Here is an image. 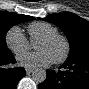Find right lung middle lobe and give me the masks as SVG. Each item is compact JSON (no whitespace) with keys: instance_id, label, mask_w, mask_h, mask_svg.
<instances>
[{"instance_id":"obj_1","label":"right lung middle lobe","mask_w":89,"mask_h":89,"mask_svg":"<svg viewBox=\"0 0 89 89\" xmlns=\"http://www.w3.org/2000/svg\"><path fill=\"white\" fill-rule=\"evenodd\" d=\"M32 16H24L18 14H11L9 12L0 11V56L10 52L6 45V33L14 25L26 21L34 20Z\"/></svg>"}]
</instances>
